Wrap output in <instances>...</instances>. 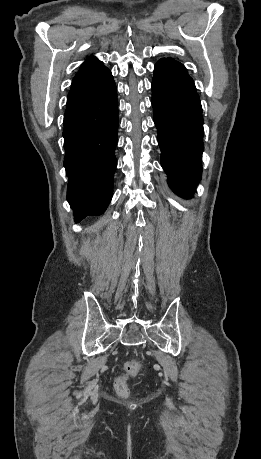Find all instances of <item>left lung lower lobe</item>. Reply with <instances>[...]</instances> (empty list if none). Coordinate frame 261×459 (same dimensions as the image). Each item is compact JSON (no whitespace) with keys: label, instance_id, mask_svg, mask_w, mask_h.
<instances>
[{"label":"left lung lower lobe","instance_id":"obj_1","mask_svg":"<svg viewBox=\"0 0 261 459\" xmlns=\"http://www.w3.org/2000/svg\"><path fill=\"white\" fill-rule=\"evenodd\" d=\"M152 106L168 184L179 196L190 198L201 180L203 118L194 81L181 63H156Z\"/></svg>","mask_w":261,"mask_h":459}]
</instances>
